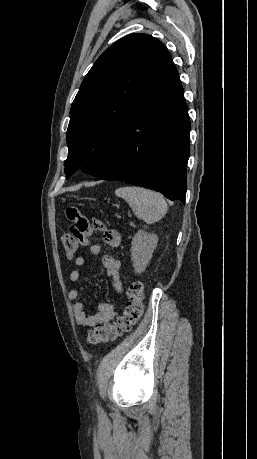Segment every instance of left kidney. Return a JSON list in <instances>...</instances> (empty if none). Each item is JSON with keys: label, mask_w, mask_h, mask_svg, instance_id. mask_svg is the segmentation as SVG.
Returning <instances> with one entry per match:
<instances>
[{"label": "left kidney", "mask_w": 257, "mask_h": 459, "mask_svg": "<svg viewBox=\"0 0 257 459\" xmlns=\"http://www.w3.org/2000/svg\"><path fill=\"white\" fill-rule=\"evenodd\" d=\"M158 236L139 230L131 242V259L136 273H142L149 264L154 249L157 247Z\"/></svg>", "instance_id": "5707ae66"}]
</instances>
